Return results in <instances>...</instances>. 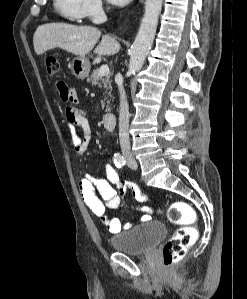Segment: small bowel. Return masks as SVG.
I'll return each mask as SVG.
<instances>
[{"instance_id": "small-bowel-1", "label": "small bowel", "mask_w": 247, "mask_h": 299, "mask_svg": "<svg viewBox=\"0 0 247 299\" xmlns=\"http://www.w3.org/2000/svg\"><path fill=\"white\" fill-rule=\"evenodd\" d=\"M57 90L62 101L69 104L65 110V117L73 149L78 156H83L92 141V129L89 119L84 111L75 107L79 100L73 88L59 81L57 82ZM76 127L82 131V136L77 133ZM104 170L106 179L85 175L79 181V190L83 202L92 213L101 219L110 233L117 234L122 228L128 229L132 224H122L118 218L108 216L107 211L120 207L127 188L131 189V183L121 181L116 169L109 163L105 164ZM96 190L101 198L97 195ZM133 196L139 202L149 199L145 194L139 196L133 192ZM132 208L146 213L141 217L142 221L150 220V214L154 213V210L147 206H133Z\"/></svg>"}]
</instances>
